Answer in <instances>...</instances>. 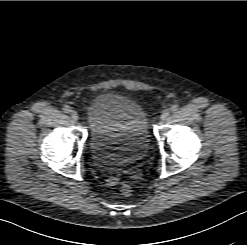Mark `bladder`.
Listing matches in <instances>:
<instances>
[{"label": "bladder", "mask_w": 247, "mask_h": 245, "mask_svg": "<svg viewBox=\"0 0 247 245\" xmlns=\"http://www.w3.org/2000/svg\"><path fill=\"white\" fill-rule=\"evenodd\" d=\"M86 117L91 156L98 167L123 166L148 150V118L134 100L112 92L100 94L88 105Z\"/></svg>", "instance_id": "obj_1"}]
</instances>
